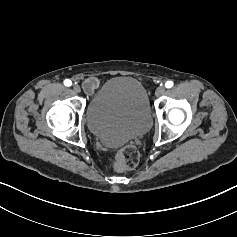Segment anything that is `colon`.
I'll return each mask as SVG.
<instances>
[{
  "instance_id": "obj_1",
  "label": "colon",
  "mask_w": 237,
  "mask_h": 237,
  "mask_svg": "<svg viewBox=\"0 0 237 237\" xmlns=\"http://www.w3.org/2000/svg\"><path fill=\"white\" fill-rule=\"evenodd\" d=\"M139 151L133 145H127L119 149L111 160L114 169L118 171L131 170L139 162Z\"/></svg>"
}]
</instances>
